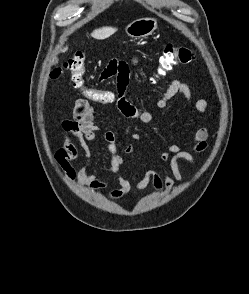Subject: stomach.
Wrapping results in <instances>:
<instances>
[{"label": "stomach", "mask_w": 249, "mask_h": 294, "mask_svg": "<svg viewBox=\"0 0 249 294\" xmlns=\"http://www.w3.org/2000/svg\"><path fill=\"white\" fill-rule=\"evenodd\" d=\"M157 29V20L155 18H140L132 21L125 27L126 34L134 38L144 39Z\"/></svg>", "instance_id": "obj_1"}]
</instances>
